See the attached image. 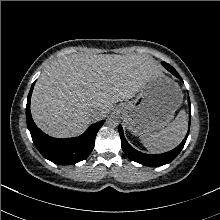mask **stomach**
Instances as JSON below:
<instances>
[{"instance_id": "0dacf381", "label": "stomach", "mask_w": 220, "mask_h": 220, "mask_svg": "<svg viewBox=\"0 0 220 220\" xmlns=\"http://www.w3.org/2000/svg\"><path fill=\"white\" fill-rule=\"evenodd\" d=\"M183 100L179 85L160 72L151 77L134 100L121 103L119 112L128 130L142 136L164 128Z\"/></svg>"}]
</instances>
